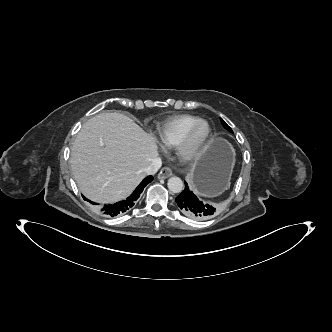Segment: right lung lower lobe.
<instances>
[{
    "instance_id": "right-lung-lower-lobe-1",
    "label": "right lung lower lobe",
    "mask_w": 332,
    "mask_h": 332,
    "mask_svg": "<svg viewBox=\"0 0 332 332\" xmlns=\"http://www.w3.org/2000/svg\"><path fill=\"white\" fill-rule=\"evenodd\" d=\"M153 180L152 176H148L146 177L140 184L139 186L135 189V191L126 199V200H122L119 201L113 205H105L101 211L104 214L110 215L111 217L116 216L118 214L124 213L127 210H129L130 208L133 207L135 201L139 198L140 194L142 193L144 187L150 183ZM84 198V200L95 204L94 202L88 200L87 198H85L84 196H82Z\"/></svg>"
}]
</instances>
